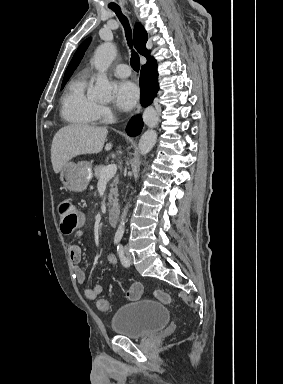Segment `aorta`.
Segmentation results:
<instances>
[{
    "label": "aorta",
    "instance_id": "1",
    "mask_svg": "<svg viewBox=\"0 0 283 384\" xmlns=\"http://www.w3.org/2000/svg\"><path fill=\"white\" fill-rule=\"evenodd\" d=\"M116 56V48L110 43L106 42L101 44L94 55L93 64L98 70L99 74L96 79V84L93 89V96L100 99H108L111 96L113 83L110 82L106 76V71L111 65ZM143 121L149 129L141 136L138 144L139 152L141 155H146L156 143L157 132L154 128L157 126L159 116L153 107H148L144 110ZM129 203L123 209L120 223L116 234L122 236L125 229V219L128 212Z\"/></svg>",
    "mask_w": 283,
    "mask_h": 384
}]
</instances>
